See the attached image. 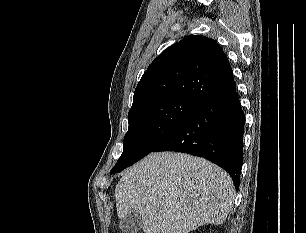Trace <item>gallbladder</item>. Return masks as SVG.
Here are the masks:
<instances>
[{
	"mask_svg": "<svg viewBox=\"0 0 306 233\" xmlns=\"http://www.w3.org/2000/svg\"><path fill=\"white\" fill-rule=\"evenodd\" d=\"M119 227L124 233H137L142 227V217L136 210L129 211L120 219Z\"/></svg>",
	"mask_w": 306,
	"mask_h": 233,
	"instance_id": "bac80fb5",
	"label": "gallbladder"
}]
</instances>
